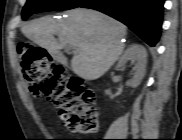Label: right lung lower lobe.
Wrapping results in <instances>:
<instances>
[{
    "mask_svg": "<svg viewBox=\"0 0 182 140\" xmlns=\"http://www.w3.org/2000/svg\"><path fill=\"white\" fill-rule=\"evenodd\" d=\"M164 0H87L79 7L103 12L127 25L148 45L158 42Z\"/></svg>",
    "mask_w": 182,
    "mask_h": 140,
    "instance_id": "98d812e1",
    "label": "right lung lower lobe"
}]
</instances>
